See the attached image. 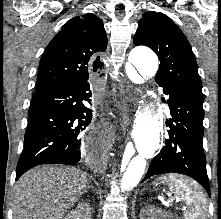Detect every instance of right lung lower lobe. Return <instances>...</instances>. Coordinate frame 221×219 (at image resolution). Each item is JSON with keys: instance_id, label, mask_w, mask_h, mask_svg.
Here are the masks:
<instances>
[{"instance_id": "obj_1", "label": "right lung lower lobe", "mask_w": 221, "mask_h": 219, "mask_svg": "<svg viewBox=\"0 0 221 219\" xmlns=\"http://www.w3.org/2000/svg\"><path fill=\"white\" fill-rule=\"evenodd\" d=\"M93 90L88 80L33 95L15 180L37 165L79 162L83 131L92 118L87 104Z\"/></svg>"}]
</instances>
